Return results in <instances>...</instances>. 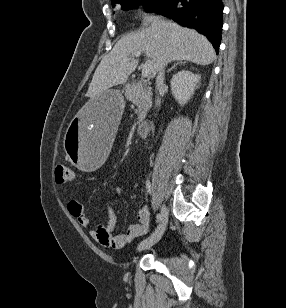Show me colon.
<instances>
[{"label": "colon", "instance_id": "obj_1", "mask_svg": "<svg viewBox=\"0 0 286 308\" xmlns=\"http://www.w3.org/2000/svg\"><path fill=\"white\" fill-rule=\"evenodd\" d=\"M55 181L60 185H73L75 183V171L68 165H58L54 171Z\"/></svg>", "mask_w": 286, "mask_h": 308}]
</instances>
